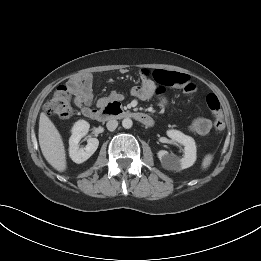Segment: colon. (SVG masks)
<instances>
[{
	"mask_svg": "<svg viewBox=\"0 0 261 261\" xmlns=\"http://www.w3.org/2000/svg\"><path fill=\"white\" fill-rule=\"evenodd\" d=\"M70 91L65 86H59L53 96L45 103L44 110L49 115H53L59 119L66 120L72 115L70 104ZM206 104L214 118V127L217 130H222L225 127L223 112L219 99L215 94H208Z\"/></svg>",
	"mask_w": 261,
	"mask_h": 261,
	"instance_id": "colon-1",
	"label": "colon"
}]
</instances>
